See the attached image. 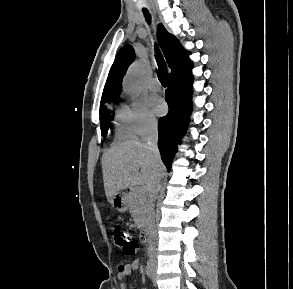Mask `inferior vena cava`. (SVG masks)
Here are the masks:
<instances>
[{"label":"inferior vena cava","mask_w":293,"mask_h":289,"mask_svg":"<svg viewBox=\"0 0 293 289\" xmlns=\"http://www.w3.org/2000/svg\"><path fill=\"white\" fill-rule=\"evenodd\" d=\"M143 142H145L147 148L153 155L154 164L156 167H159L161 164L160 153L157 146L158 141V128L156 121H150L147 126L145 133L142 138ZM163 174L161 172H157L153 184L148 192V223H147V233H148V252L150 259L153 262H156L155 256V241H156V230H155V212H154V204L157 194L161 188V180Z\"/></svg>","instance_id":"obj_1"}]
</instances>
